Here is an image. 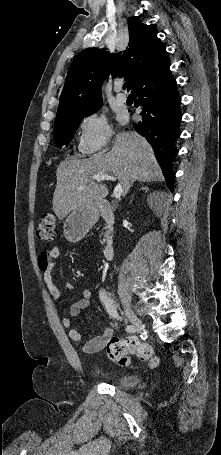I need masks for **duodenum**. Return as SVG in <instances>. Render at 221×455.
Returning <instances> with one entry per match:
<instances>
[{
    "label": "duodenum",
    "instance_id": "410a0bca",
    "mask_svg": "<svg viewBox=\"0 0 221 455\" xmlns=\"http://www.w3.org/2000/svg\"><path fill=\"white\" fill-rule=\"evenodd\" d=\"M98 215L103 218L108 225L111 227L115 222V216L113 213L112 206L110 204H101L97 208ZM114 255V244L108 241L103 249V256L106 260H111Z\"/></svg>",
    "mask_w": 221,
    "mask_h": 455
}]
</instances>
